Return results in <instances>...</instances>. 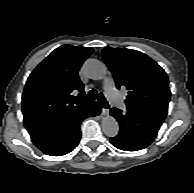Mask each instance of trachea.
<instances>
[{
	"label": "trachea",
	"mask_w": 194,
	"mask_h": 193,
	"mask_svg": "<svg viewBox=\"0 0 194 193\" xmlns=\"http://www.w3.org/2000/svg\"><path fill=\"white\" fill-rule=\"evenodd\" d=\"M97 97L102 107L104 108L110 107L103 94L102 93L98 94L95 89H92L87 95L83 97V99L86 101H94Z\"/></svg>",
	"instance_id": "trachea-1"
}]
</instances>
